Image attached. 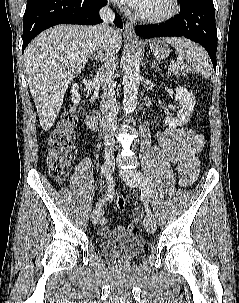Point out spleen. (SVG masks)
<instances>
[{
	"label": "spleen",
	"mask_w": 239,
	"mask_h": 303,
	"mask_svg": "<svg viewBox=\"0 0 239 303\" xmlns=\"http://www.w3.org/2000/svg\"><path fill=\"white\" fill-rule=\"evenodd\" d=\"M165 42L171 44L187 63L208 79L212 73V64L206 50L200 45L181 37H166Z\"/></svg>",
	"instance_id": "obj_1"
}]
</instances>
